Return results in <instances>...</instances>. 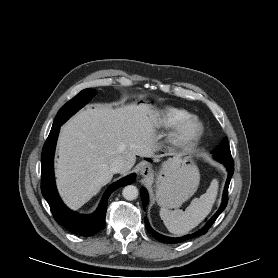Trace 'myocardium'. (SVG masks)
I'll return each instance as SVG.
<instances>
[{
	"label": "myocardium",
	"instance_id": "f54148a6",
	"mask_svg": "<svg viewBox=\"0 0 278 278\" xmlns=\"http://www.w3.org/2000/svg\"><path fill=\"white\" fill-rule=\"evenodd\" d=\"M203 133V123L196 116L191 115L174 128L171 142L178 149L189 150L197 145Z\"/></svg>",
	"mask_w": 278,
	"mask_h": 278
}]
</instances>
